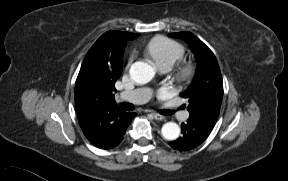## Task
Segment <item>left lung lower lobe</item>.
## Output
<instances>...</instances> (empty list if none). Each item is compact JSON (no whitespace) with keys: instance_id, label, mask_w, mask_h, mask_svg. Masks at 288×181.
<instances>
[{"instance_id":"1","label":"left lung lower lobe","mask_w":288,"mask_h":181,"mask_svg":"<svg viewBox=\"0 0 288 181\" xmlns=\"http://www.w3.org/2000/svg\"><path fill=\"white\" fill-rule=\"evenodd\" d=\"M214 126L196 119H188L181 125L182 137L169 142V145L179 151H187L199 146L209 135Z\"/></svg>"}]
</instances>
